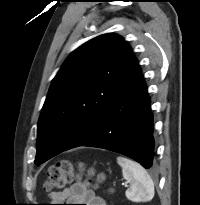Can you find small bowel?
<instances>
[{
	"label": "small bowel",
	"mask_w": 200,
	"mask_h": 205,
	"mask_svg": "<svg viewBox=\"0 0 200 205\" xmlns=\"http://www.w3.org/2000/svg\"><path fill=\"white\" fill-rule=\"evenodd\" d=\"M52 204L48 205H105L86 184L78 182L70 187L49 195Z\"/></svg>",
	"instance_id": "c3829d8e"
}]
</instances>
